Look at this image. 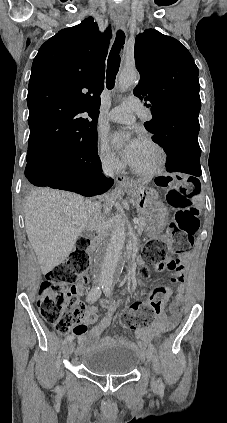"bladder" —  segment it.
Returning <instances> with one entry per match:
<instances>
[{
    "label": "bladder",
    "instance_id": "1",
    "mask_svg": "<svg viewBox=\"0 0 227 423\" xmlns=\"http://www.w3.org/2000/svg\"><path fill=\"white\" fill-rule=\"evenodd\" d=\"M140 362L137 350L130 344H111L90 351L81 360L82 366L101 377L129 375Z\"/></svg>",
    "mask_w": 227,
    "mask_h": 423
}]
</instances>
